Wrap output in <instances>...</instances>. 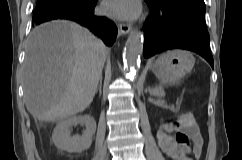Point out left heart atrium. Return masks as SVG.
Returning <instances> with one entry per match:
<instances>
[{
  "instance_id": "1",
  "label": "left heart atrium",
  "mask_w": 242,
  "mask_h": 160,
  "mask_svg": "<svg viewBox=\"0 0 242 160\" xmlns=\"http://www.w3.org/2000/svg\"><path fill=\"white\" fill-rule=\"evenodd\" d=\"M139 0H105L103 3L104 12L114 18L131 19L140 12Z\"/></svg>"
}]
</instances>
